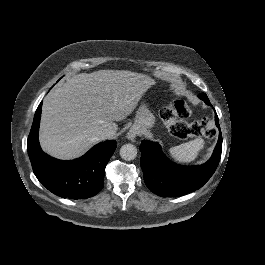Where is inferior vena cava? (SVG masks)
I'll use <instances>...</instances> for the list:
<instances>
[{"label": "inferior vena cava", "instance_id": "1", "mask_svg": "<svg viewBox=\"0 0 265 265\" xmlns=\"http://www.w3.org/2000/svg\"><path fill=\"white\" fill-rule=\"evenodd\" d=\"M102 135L105 139H111L116 135V131L113 127H108L103 131Z\"/></svg>", "mask_w": 265, "mask_h": 265}]
</instances>
